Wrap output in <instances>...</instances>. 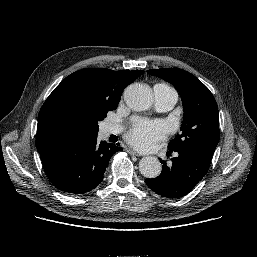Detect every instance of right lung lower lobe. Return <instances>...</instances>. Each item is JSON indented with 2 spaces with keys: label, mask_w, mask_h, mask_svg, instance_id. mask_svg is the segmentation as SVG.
Returning <instances> with one entry per match:
<instances>
[{
  "label": "right lung lower lobe",
  "mask_w": 257,
  "mask_h": 257,
  "mask_svg": "<svg viewBox=\"0 0 257 257\" xmlns=\"http://www.w3.org/2000/svg\"><path fill=\"white\" fill-rule=\"evenodd\" d=\"M122 148L97 135L67 138L39 150L44 170L55 187L69 194H84L95 189L114 153Z\"/></svg>",
  "instance_id": "obj_1"
}]
</instances>
